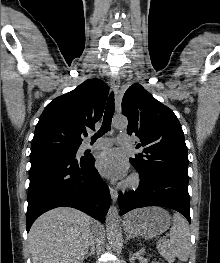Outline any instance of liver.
<instances>
[{
  "label": "liver",
  "mask_w": 220,
  "mask_h": 263,
  "mask_svg": "<svg viewBox=\"0 0 220 263\" xmlns=\"http://www.w3.org/2000/svg\"><path fill=\"white\" fill-rule=\"evenodd\" d=\"M99 228L97 221L73 208L45 212L29 232L32 263H82L92 232Z\"/></svg>",
  "instance_id": "liver-1"
}]
</instances>
